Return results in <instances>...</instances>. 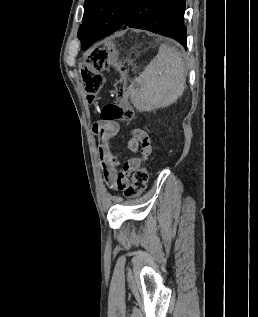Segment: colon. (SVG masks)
I'll return each instance as SVG.
<instances>
[{
	"instance_id": "5ec220e1",
	"label": "colon",
	"mask_w": 258,
	"mask_h": 317,
	"mask_svg": "<svg viewBox=\"0 0 258 317\" xmlns=\"http://www.w3.org/2000/svg\"><path fill=\"white\" fill-rule=\"evenodd\" d=\"M109 64V54L105 48L97 47L85 56L80 66L82 79L85 85L87 97L93 101L103 87V77L101 72ZM117 102L105 104L100 112L103 121H129L134 116V109L128 103V93L124 80L116 83ZM148 180V173L145 168L137 169L131 183L125 189V195L129 198L138 197L145 189Z\"/></svg>"
}]
</instances>
